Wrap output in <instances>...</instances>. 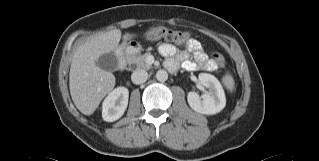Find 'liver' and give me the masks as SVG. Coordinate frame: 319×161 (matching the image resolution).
<instances>
[{"mask_svg":"<svg viewBox=\"0 0 319 161\" xmlns=\"http://www.w3.org/2000/svg\"><path fill=\"white\" fill-rule=\"evenodd\" d=\"M122 37L119 29L100 33L81 44L73 54L69 73V89L77 109L92 114L101 100L114 88L115 76L96 65L98 58L117 49ZM134 34L125 33L124 42Z\"/></svg>","mask_w":319,"mask_h":161,"instance_id":"obj_1","label":"liver"}]
</instances>
